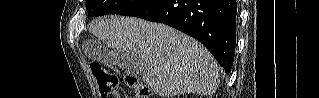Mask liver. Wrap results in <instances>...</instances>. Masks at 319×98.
I'll return each mask as SVG.
<instances>
[{
    "mask_svg": "<svg viewBox=\"0 0 319 98\" xmlns=\"http://www.w3.org/2000/svg\"><path fill=\"white\" fill-rule=\"evenodd\" d=\"M89 31L106 47L135 55L142 81L163 98L187 92L210 96L219 85L220 67L210 52L167 25L111 16L95 21Z\"/></svg>",
    "mask_w": 319,
    "mask_h": 98,
    "instance_id": "obj_1",
    "label": "liver"
}]
</instances>
